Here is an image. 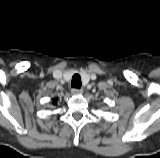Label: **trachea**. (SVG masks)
<instances>
[{"label": "trachea", "instance_id": "3493384b", "mask_svg": "<svg viewBox=\"0 0 160 158\" xmlns=\"http://www.w3.org/2000/svg\"><path fill=\"white\" fill-rule=\"evenodd\" d=\"M81 77L79 74H75L73 77H72V81H71V86L73 88H81Z\"/></svg>", "mask_w": 160, "mask_h": 158}]
</instances>
